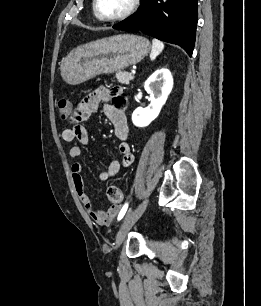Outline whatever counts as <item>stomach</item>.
Returning <instances> with one entry per match:
<instances>
[{"label": "stomach", "mask_w": 261, "mask_h": 306, "mask_svg": "<svg viewBox=\"0 0 261 306\" xmlns=\"http://www.w3.org/2000/svg\"><path fill=\"white\" fill-rule=\"evenodd\" d=\"M150 50L145 37L119 34L77 47L61 65L63 80L72 85L97 75L121 71L141 61Z\"/></svg>", "instance_id": "obj_1"}]
</instances>
